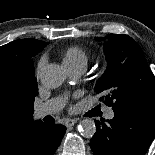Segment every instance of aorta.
Listing matches in <instances>:
<instances>
[{
	"instance_id": "1",
	"label": "aorta",
	"mask_w": 155,
	"mask_h": 155,
	"mask_svg": "<svg viewBox=\"0 0 155 155\" xmlns=\"http://www.w3.org/2000/svg\"><path fill=\"white\" fill-rule=\"evenodd\" d=\"M66 78L65 69L58 64H49L40 72L41 83L49 88L54 89L62 85ZM78 131L85 138H92L96 132L95 122L85 119L78 125Z\"/></svg>"
}]
</instances>
